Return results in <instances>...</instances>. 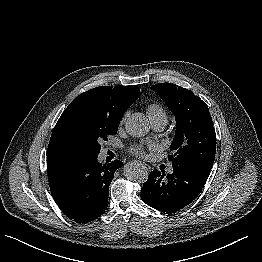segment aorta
Masks as SVG:
<instances>
[{"mask_svg":"<svg viewBox=\"0 0 262 262\" xmlns=\"http://www.w3.org/2000/svg\"><path fill=\"white\" fill-rule=\"evenodd\" d=\"M125 129L133 137H143L149 130V121L142 113L132 114L126 121ZM126 178L135 183H144L148 179V171L143 164L131 162L124 167Z\"/></svg>","mask_w":262,"mask_h":262,"instance_id":"1","label":"aorta"}]
</instances>
